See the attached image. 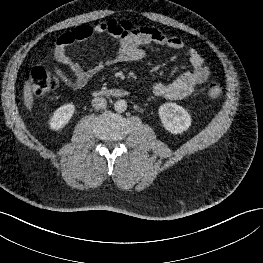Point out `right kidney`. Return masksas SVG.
I'll return each instance as SVG.
<instances>
[{
    "label": "right kidney",
    "mask_w": 263,
    "mask_h": 263,
    "mask_svg": "<svg viewBox=\"0 0 263 263\" xmlns=\"http://www.w3.org/2000/svg\"><path fill=\"white\" fill-rule=\"evenodd\" d=\"M75 111V106L68 103L59 107L49 121V128L54 131L61 130L70 121Z\"/></svg>",
    "instance_id": "ca27d5eb"
}]
</instances>
